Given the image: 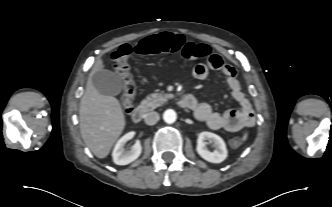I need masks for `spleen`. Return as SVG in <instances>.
Listing matches in <instances>:
<instances>
[{
  "label": "spleen",
  "mask_w": 332,
  "mask_h": 207,
  "mask_svg": "<svg viewBox=\"0 0 332 207\" xmlns=\"http://www.w3.org/2000/svg\"><path fill=\"white\" fill-rule=\"evenodd\" d=\"M246 138H247V135L245 134V135L243 136V140H246Z\"/></svg>",
  "instance_id": "obj_1"
}]
</instances>
